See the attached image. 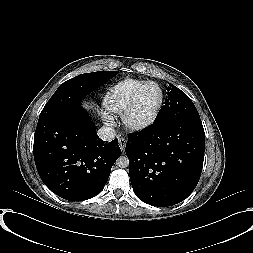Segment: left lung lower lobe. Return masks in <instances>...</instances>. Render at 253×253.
Masks as SVG:
<instances>
[{
	"label": "left lung lower lobe",
	"mask_w": 253,
	"mask_h": 253,
	"mask_svg": "<svg viewBox=\"0 0 253 253\" xmlns=\"http://www.w3.org/2000/svg\"><path fill=\"white\" fill-rule=\"evenodd\" d=\"M205 133L200 118L152 124L128 137L126 155L136 196L166 207L187 198L203 166Z\"/></svg>",
	"instance_id": "1"
}]
</instances>
